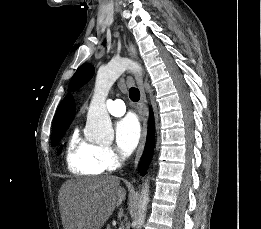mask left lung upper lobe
<instances>
[{
  "instance_id": "obj_1",
  "label": "left lung upper lobe",
  "mask_w": 261,
  "mask_h": 229,
  "mask_svg": "<svg viewBox=\"0 0 261 229\" xmlns=\"http://www.w3.org/2000/svg\"><path fill=\"white\" fill-rule=\"evenodd\" d=\"M93 74H94V67L91 64L85 63L81 65L77 69L73 78L71 79L69 84V89L71 90L79 89L82 85L87 83L92 78Z\"/></svg>"
}]
</instances>
